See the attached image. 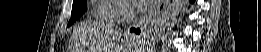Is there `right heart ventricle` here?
Listing matches in <instances>:
<instances>
[{"mask_svg": "<svg viewBox=\"0 0 261 52\" xmlns=\"http://www.w3.org/2000/svg\"><path fill=\"white\" fill-rule=\"evenodd\" d=\"M121 6L115 4L114 2L102 0L94 8V20L105 22V23H115L113 14L119 10Z\"/></svg>", "mask_w": 261, "mask_h": 52, "instance_id": "right-heart-ventricle-1", "label": "right heart ventricle"}]
</instances>
